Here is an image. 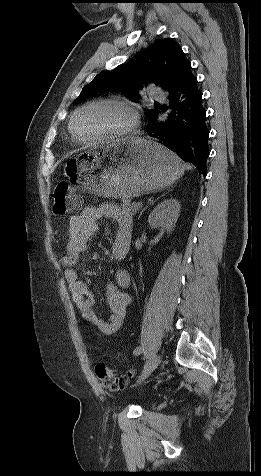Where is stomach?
Listing matches in <instances>:
<instances>
[{
  "label": "stomach",
  "instance_id": "obj_1",
  "mask_svg": "<svg viewBox=\"0 0 261 476\" xmlns=\"http://www.w3.org/2000/svg\"><path fill=\"white\" fill-rule=\"evenodd\" d=\"M66 177L89 192L130 199L162 190L184 174L180 158L158 142L127 136L110 144H94L67 163Z\"/></svg>",
  "mask_w": 261,
  "mask_h": 476
}]
</instances>
